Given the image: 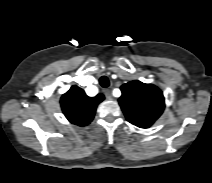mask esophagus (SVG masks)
I'll use <instances>...</instances> for the list:
<instances>
[{
    "label": "esophagus",
    "instance_id": "obj_1",
    "mask_svg": "<svg viewBox=\"0 0 212 183\" xmlns=\"http://www.w3.org/2000/svg\"><path fill=\"white\" fill-rule=\"evenodd\" d=\"M104 94H105V97L108 99V100H112L113 99V96L111 94V91L109 89H105L104 90Z\"/></svg>",
    "mask_w": 212,
    "mask_h": 183
}]
</instances>
